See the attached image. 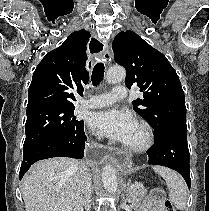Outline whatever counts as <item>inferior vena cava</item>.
Here are the masks:
<instances>
[{
	"mask_svg": "<svg viewBox=\"0 0 209 211\" xmlns=\"http://www.w3.org/2000/svg\"><path fill=\"white\" fill-rule=\"evenodd\" d=\"M85 172H84V177H85V190H84V204H85V208L87 209V211H89L90 207H91V196H92V186H91V176L88 173L87 168H84Z\"/></svg>",
	"mask_w": 209,
	"mask_h": 211,
	"instance_id": "inferior-vena-cava-1",
	"label": "inferior vena cava"
}]
</instances>
